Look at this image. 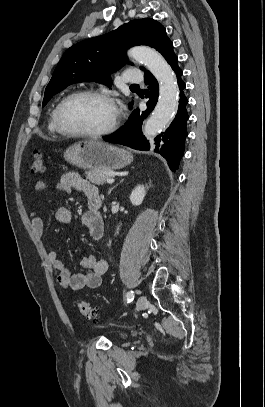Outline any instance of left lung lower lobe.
I'll return each mask as SVG.
<instances>
[{
  "mask_svg": "<svg viewBox=\"0 0 265 407\" xmlns=\"http://www.w3.org/2000/svg\"><path fill=\"white\" fill-rule=\"evenodd\" d=\"M171 67L177 76L181 92L178 112L166 131L157 136L152 145L149 144L142 134V123L154 109L159 95L157 80L151 73H146L144 76L145 83L148 85L146 97L149 98L147 109L145 111H140L138 108L135 109L119 131L112 135L104 136L103 140L122 144L137 150H149L152 148L168 161L172 171H176L184 153L185 138L187 136L186 123L189 116L186 109L188 99L183 92L186 85L181 78L183 72L178 66V58L171 64Z\"/></svg>",
  "mask_w": 265,
  "mask_h": 407,
  "instance_id": "0a47b994",
  "label": "left lung lower lobe"
}]
</instances>
